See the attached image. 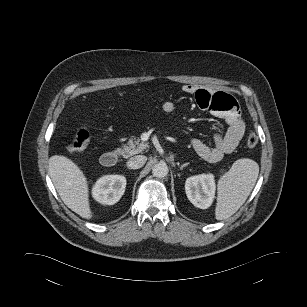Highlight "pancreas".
<instances>
[{"mask_svg": "<svg viewBox=\"0 0 307 307\" xmlns=\"http://www.w3.org/2000/svg\"><path fill=\"white\" fill-rule=\"evenodd\" d=\"M148 147H149V145L147 143L141 141L140 139H138V138H131V139H129L127 144H125L123 146V149L120 150V154L124 158H128V157H130L132 155L142 153Z\"/></svg>", "mask_w": 307, "mask_h": 307, "instance_id": "1", "label": "pancreas"}]
</instances>
